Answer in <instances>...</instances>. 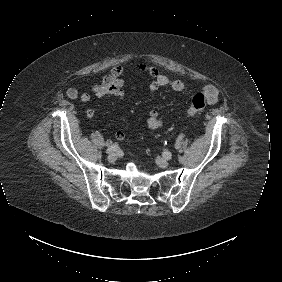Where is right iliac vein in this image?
<instances>
[{"label": "right iliac vein", "mask_w": 282, "mask_h": 282, "mask_svg": "<svg viewBox=\"0 0 282 282\" xmlns=\"http://www.w3.org/2000/svg\"><path fill=\"white\" fill-rule=\"evenodd\" d=\"M107 158L109 162H114L117 159V155L115 153H110Z\"/></svg>", "instance_id": "63e3f726"}]
</instances>
